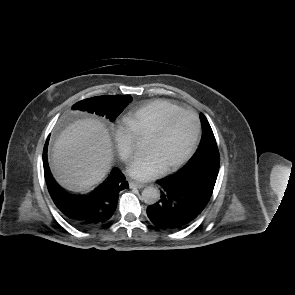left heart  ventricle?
Here are the masks:
<instances>
[{
    "label": "left heart ventricle",
    "mask_w": 295,
    "mask_h": 295,
    "mask_svg": "<svg viewBox=\"0 0 295 295\" xmlns=\"http://www.w3.org/2000/svg\"><path fill=\"white\" fill-rule=\"evenodd\" d=\"M195 133V122L187 114L173 118L158 139H147L144 150L153 153L163 168L180 159L189 149Z\"/></svg>",
    "instance_id": "obj_1"
}]
</instances>
